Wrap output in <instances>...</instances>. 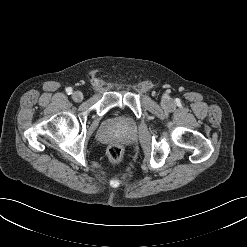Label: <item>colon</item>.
<instances>
[{
	"mask_svg": "<svg viewBox=\"0 0 247 247\" xmlns=\"http://www.w3.org/2000/svg\"><path fill=\"white\" fill-rule=\"evenodd\" d=\"M108 157L113 163H120L124 157L122 146L119 144H112L108 148Z\"/></svg>",
	"mask_w": 247,
	"mask_h": 247,
	"instance_id": "1",
	"label": "colon"
}]
</instances>
